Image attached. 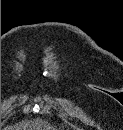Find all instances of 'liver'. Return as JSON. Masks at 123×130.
<instances>
[{
  "mask_svg": "<svg viewBox=\"0 0 123 130\" xmlns=\"http://www.w3.org/2000/svg\"><path fill=\"white\" fill-rule=\"evenodd\" d=\"M15 128L16 130H49L45 122H40L38 120L24 121L15 126Z\"/></svg>",
  "mask_w": 123,
  "mask_h": 130,
  "instance_id": "liver-1",
  "label": "liver"
}]
</instances>
